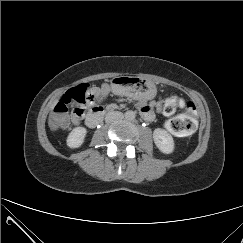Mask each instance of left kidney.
Segmentation results:
<instances>
[{"instance_id":"5707ae66","label":"left kidney","mask_w":243,"mask_h":243,"mask_svg":"<svg viewBox=\"0 0 243 243\" xmlns=\"http://www.w3.org/2000/svg\"><path fill=\"white\" fill-rule=\"evenodd\" d=\"M154 143L164 154H171L174 151L173 137L164 129L156 128L153 132Z\"/></svg>"}]
</instances>
